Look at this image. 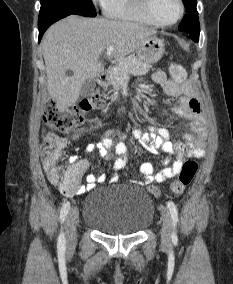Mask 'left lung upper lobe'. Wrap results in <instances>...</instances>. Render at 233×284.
<instances>
[{"instance_id": "1", "label": "left lung upper lobe", "mask_w": 233, "mask_h": 284, "mask_svg": "<svg viewBox=\"0 0 233 284\" xmlns=\"http://www.w3.org/2000/svg\"><path fill=\"white\" fill-rule=\"evenodd\" d=\"M186 11V14L179 24V30L187 34H199L200 33V24L199 18L197 16L196 9V0H183Z\"/></svg>"}]
</instances>
